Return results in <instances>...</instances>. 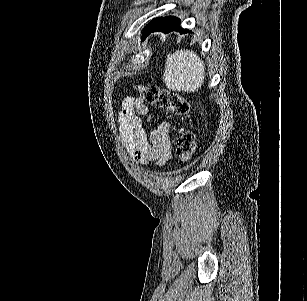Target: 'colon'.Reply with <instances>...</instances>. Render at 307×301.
Returning a JSON list of instances; mask_svg holds the SVG:
<instances>
[{"label": "colon", "instance_id": "colon-1", "mask_svg": "<svg viewBox=\"0 0 307 301\" xmlns=\"http://www.w3.org/2000/svg\"><path fill=\"white\" fill-rule=\"evenodd\" d=\"M138 92L144 101L169 112L179 122L189 112L187 100L176 92L155 84L139 85ZM174 145L177 157L181 161H188L196 148L195 137L185 128H178L174 136Z\"/></svg>", "mask_w": 307, "mask_h": 301}]
</instances>
